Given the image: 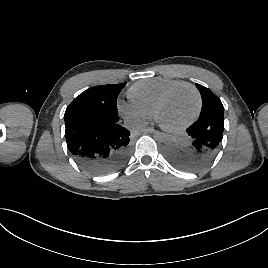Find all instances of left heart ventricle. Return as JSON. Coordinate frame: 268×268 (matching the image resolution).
<instances>
[{
    "mask_svg": "<svg viewBox=\"0 0 268 268\" xmlns=\"http://www.w3.org/2000/svg\"><path fill=\"white\" fill-rule=\"evenodd\" d=\"M197 98L187 87L176 91L163 104L159 111V119L168 126H178L190 119L196 111Z\"/></svg>",
    "mask_w": 268,
    "mask_h": 268,
    "instance_id": "1",
    "label": "left heart ventricle"
}]
</instances>
